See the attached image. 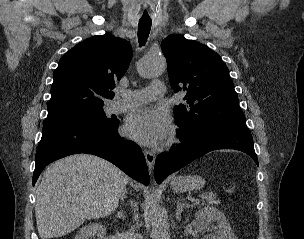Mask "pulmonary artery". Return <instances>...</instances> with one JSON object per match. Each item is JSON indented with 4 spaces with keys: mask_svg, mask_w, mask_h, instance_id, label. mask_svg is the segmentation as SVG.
Listing matches in <instances>:
<instances>
[{
    "mask_svg": "<svg viewBox=\"0 0 304 239\" xmlns=\"http://www.w3.org/2000/svg\"><path fill=\"white\" fill-rule=\"evenodd\" d=\"M120 99L110 104V111L114 113L146 104L164 96L165 85L162 82H154L149 87L141 90H119Z\"/></svg>",
    "mask_w": 304,
    "mask_h": 239,
    "instance_id": "1",
    "label": "pulmonary artery"
}]
</instances>
